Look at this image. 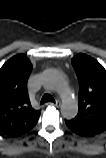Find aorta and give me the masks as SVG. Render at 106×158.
Segmentation results:
<instances>
[{"label":"aorta","instance_id":"aorta-1","mask_svg":"<svg viewBox=\"0 0 106 158\" xmlns=\"http://www.w3.org/2000/svg\"><path fill=\"white\" fill-rule=\"evenodd\" d=\"M44 84L52 90L59 92L62 97L61 114L66 119L77 115L78 104L65 79L55 70H48L44 74Z\"/></svg>","mask_w":106,"mask_h":158}]
</instances>
